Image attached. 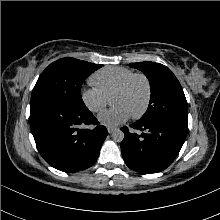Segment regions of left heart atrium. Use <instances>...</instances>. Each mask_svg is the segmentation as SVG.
Wrapping results in <instances>:
<instances>
[{
  "label": "left heart atrium",
  "mask_w": 220,
  "mask_h": 220,
  "mask_svg": "<svg viewBox=\"0 0 220 220\" xmlns=\"http://www.w3.org/2000/svg\"><path fill=\"white\" fill-rule=\"evenodd\" d=\"M130 112L121 105H116L110 109L103 111L98 119L100 123L107 126H116L125 121L130 117Z\"/></svg>",
  "instance_id": "left-heart-atrium-1"
}]
</instances>
